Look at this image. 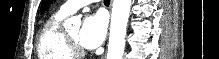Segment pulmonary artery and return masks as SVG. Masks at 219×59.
<instances>
[{
	"label": "pulmonary artery",
	"mask_w": 219,
	"mask_h": 59,
	"mask_svg": "<svg viewBox=\"0 0 219 59\" xmlns=\"http://www.w3.org/2000/svg\"><path fill=\"white\" fill-rule=\"evenodd\" d=\"M92 0H74V1H67L64 3L60 9L59 12L65 14V15H70L77 11L79 8L91 3Z\"/></svg>",
	"instance_id": "obj_1"
}]
</instances>
